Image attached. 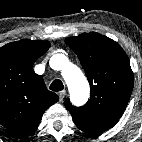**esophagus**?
<instances>
[{"mask_svg":"<svg viewBox=\"0 0 142 142\" xmlns=\"http://www.w3.org/2000/svg\"><path fill=\"white\" fill-rule=\"evenodd\" d=\"M58 95H59V101L63 102V100H64V98L66 96V91L65 90L60 91Z\"/></svg>","mask_w":142,"mask_h":142,"instance_id":"34e87169","label":"esophagus"}]
</instances>
